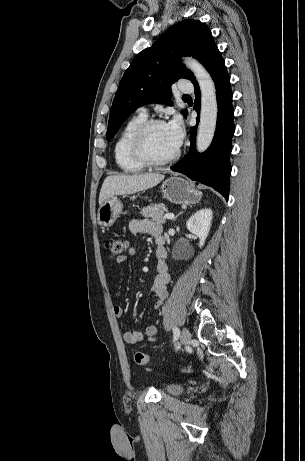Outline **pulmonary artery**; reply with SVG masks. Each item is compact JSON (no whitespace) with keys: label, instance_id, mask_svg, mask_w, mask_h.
Returning <instances> with one entry per match:
<instances>
[{"label":"pulmonary artery","instance_id":"1","mask_svg":"<svg viewBox=\"0 0 305 461\" xmlns=\"http://www.w3.org/2000/svg\"><path fill=\"white\" fill-rule=\"evenodd\" d=\"M179 90H180L182 93H189V92H192L193 88H192V86H190L189 84L181 83V84L179 85ZM139 111H140V113L146 115L147 110H146L145 108H141Z\"/></svg>","mask_w":305,"mask_h":461}]
</instances>
